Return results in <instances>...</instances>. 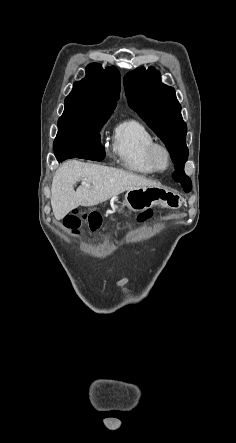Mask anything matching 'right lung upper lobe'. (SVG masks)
Wrapping results in <instances>:
<instances>
[{
	"label": "right lung upper lobe",
	"mask_w": 236,
	"mask_h": 443,
	"mask_svg": "<svg viewBox=\"0 0 236 443\" xmlns=\"http://www.w3.org/2000/svg\"><path fill=\"white\" fill-rule=\"evenodd\" d=\"M120 89V73L115 66L103 69L99 64H89L86 77L75 82L72 92L66 97L64 111L111 115Z\"/></svg>",
	"instance_id": "1"
}]
</instances>
